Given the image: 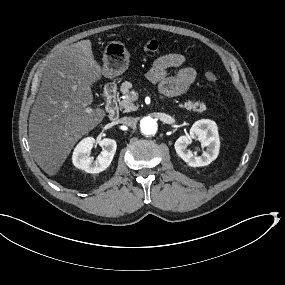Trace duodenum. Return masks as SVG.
I'll return each mask as SVG.
<instances>
[{
	"label": "duodenum",
	"mask_w": 285,
	"mask_h": 285,
	"mask_svg": "<svg viewBox=\"0 0 285 285\" xmlns=\"http://www.w3.org/2000/svg\"><path fill=\"white\" fill-rule=\"evenodd\" d=\"M117 90L115 85H108L104 91L106 109L110 120L115 121L119 117V107L116 101Z\"/></svg>",
	"instance_id": "410a0bca"
}]
</instances>
